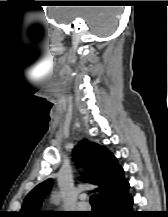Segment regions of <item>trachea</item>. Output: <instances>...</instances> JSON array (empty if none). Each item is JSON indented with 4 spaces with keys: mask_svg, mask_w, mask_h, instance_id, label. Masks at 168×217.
Segmentation results:
<instances>
[{
    "mask_svg": "<svg viewBox=\"0 0 168 217\" xmlns=\"http://www.w3.org/2000/svg\"><path fill=\"white\" fill-rule=\"evenodd\" d=\"M90 203H91L93 206H98V199H97V195H96V194H93V195L90 197Z\"/></svg>",
    "mask_w": 168,
    "mask_h": 217,
    "instance_id": "obj_1",
    "label": "trachea"
}]
</instances>
